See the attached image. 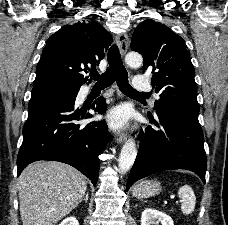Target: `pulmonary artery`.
<instances>
[{
	"instance_id": "1",
	"label": "pulmonary artery",
	"mask_w": 228,
	"mask_h": 225,
	"mask_svg": "<svg viewBox=\"0 0 228 225\" xmlns=\"http://www.w3.org/2000/svg\"><path fill=\"white\" fill-rule=\"evenodd\" d=\"M137 80H146V75H137ZM134 90H151V85H148L147 81H135V85L133 86ZM156 99H158V95H154Z\"/></svg>"
}]
</instances>
